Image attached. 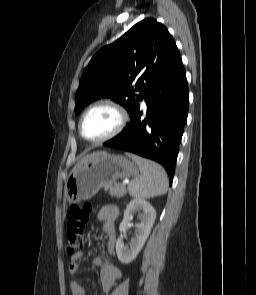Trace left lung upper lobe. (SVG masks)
Returning a JSON list of instances; mask_svg holds the SVG:
<instances>
[{"instance_id":"5c2ea615","label":"left lung upper lobe","mask_w":256,"mask_h":295,"mask_svg":"<svg viewBox=\"0 0 256 295\" xmlns=\"http://www.w3.org/2000/svg\"><path fill=\"white\" fill-rule=\"evenodd\" d=\"M180 60L168 30L153 18L142 20L100 49L84 69L76 92V115L90 102L110 97L125 107L131 117L139 100ZM135 79V90L141 92L138 96L130 86Z\"/></svg>"}]
</instances>
